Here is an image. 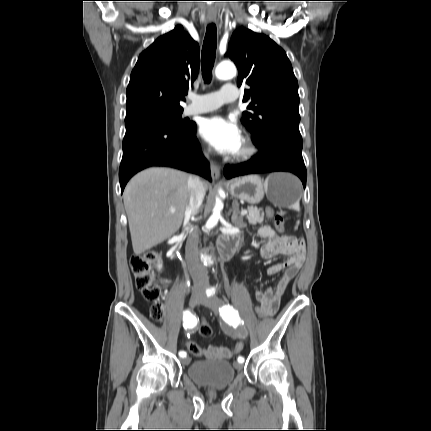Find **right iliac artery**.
I'll return each mask as SVG.
<instances>
[{"label": "right iliac artery", "mask_w": 431, "mask_h": 431, "mask_svg": "<svg viewBox=\"0 0 431 431\" xmlns=\"http://www.w3.org/2000/svg\"><path fill=\"white\" fill-rule=\"evenodd\" d=\"M211 291H207V293L209 294ZM196 325V320L195 317L191 314L190 311L186 310L183 313V326L185 329H190L193 328ZM179 356L184 358L186 357V352L185 351H180L179 352Z\"/></svg>", "instance_id": "1"}]
</instances>
